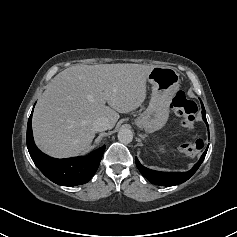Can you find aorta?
I'll list each match as a JSON object with an SVG mask.
<instances>
[{
    "label": "aorta",
    "mask_w": 237,
    "mask_h": 237,
    "mask_svg": "<svg viewBox=\"0 0 237 237\" xmlns=\"http://www.w3.org/2000/svg\"><path fill=\"white\" fill-rule=\"evenodd\" d=\"M118 140L123 144H128L133 140V133L130 129L121 128L118 132Z\"/></svg>",
    "instance_id": "1"
}]
</instances>
